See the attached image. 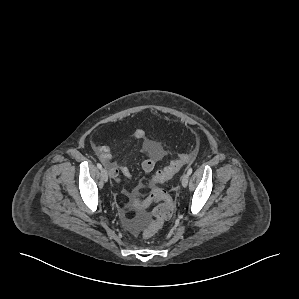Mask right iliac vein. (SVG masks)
Returning a JSON list of instances; mask_svg holds the SVG:
<instances>
[{"instance_id":"1","label":"right iliac vein","mask_w":299,"mask_h":299,"mask_svg":"<svg viewBox=\"0 0 299 299\" xmlns=\"http://www.w3.org/2000/svg\"><path fill=\"white\" fill-rule=\"evenodd\" d=\"M101 177L105 182L108 181V173L106 169H101Z\"/></svg>"}]
</instances>
